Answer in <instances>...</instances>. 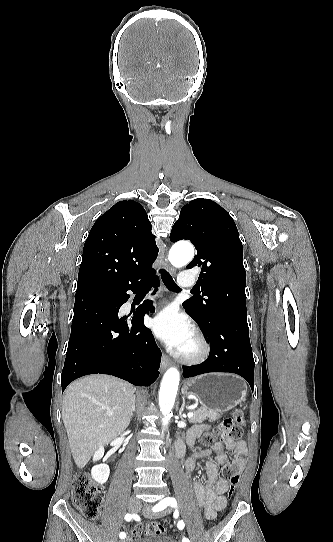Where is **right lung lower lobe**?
Here are the masks:
<instances>
[{
    "instance_id": "98d812e1",
    "label": "right lung lower lobe",
    "mask_w": 333,
    "mask_h": 542,
    "mask_svg": "<svg viewBox=\"0 0 333 542\" xmlns=\"http://www.w3.org/2000/svg\"><path fill=\"white\" fill-rule=\"evenodd\" d=\"M114 259L101 248L83 251L81 265L102 267ZM147 265L143 277L125 288L98 287L77 290L71 334L61 376L62 391L73 380L88 374H109L136 386H149L159 375L161 351L144 316L155 311L145 301L133 316L119 318L120 307L141 286H159L155 269Z\"/></svg>"
}]
</instances>
